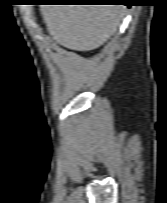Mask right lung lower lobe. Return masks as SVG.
I'll return each instance as SVG.
<instances>
[{
	"label": "right lung lower lobe",
	"mask_w": 167,
	"mask_h": 203,
	"mask_svg": "<svg viewBox=\"0 0 167 203\" xmlns=\"http://www.w3.org/2000/svg\"><path fill=\"white\" fill-rule=\"evenodd\" d=\"M93 1V0H92ZM95 1H103V0H95ZM104 1H117V0H104ZM106 3V2H105ZM130 6V5H127Z\"/></svg>",
	"instance_id": "right-lung-lower-lobe-1"
}]
</instances>
